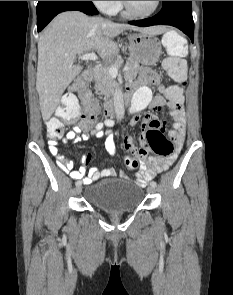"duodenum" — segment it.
Listing matches in <instances>:
<instances>
[{
	"mask_svg": "<svg viewBox=\"0 0 233 295\" xmlns=\"http://www.w3.org/2000/svg\"><path fill=\"white\" fill-rule=\"evenodd\" d=\"M95 75H96V71H95V69H93V68H89V69H87L86 71H85V73H84V77H86V80H93L94 79V77H95ZM130 97H131V93H130V88L128 89V91L125 93V95H124V99H125V101H128V100H130ZM103 109H104V114L106 115V116H111V115H113L114 114V112H115V104H114V100L113 99H108V100H106L105 101V103H104V107H103Z\"/></svg>",
	"mask_w": 233,
	"mask_h": 295,
	"instance_id": "410a0bca",
	"label": "duodenum"
}]
</instances>
